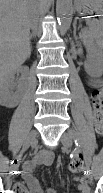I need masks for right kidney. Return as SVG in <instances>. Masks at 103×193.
<instances>
[{
  "label": "right kidney",
  "mask_w": 103,
  "mask_h": 193,
  "mask_svg": "<svg viewBox=\"0 0 103 193\" xmlns=\"http://www.w3.org/2000/svg\"><path fill=\"white\" fill-rule=\"evenodd\" d=\"M27 68H18L12 73L7 75L1 74L0 76V104L7 108H14L19 103L18 93H13L12 90L15 86L20 89L22 87V81L19 80L15 83V72L27 73Z\"/></svg>",
  "instance_id": "obj_1"
}]
</instances>
